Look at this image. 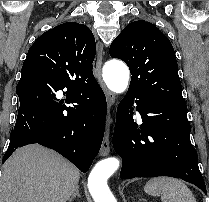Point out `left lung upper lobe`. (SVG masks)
Instances as JSON below:
<instances>
[{
    "mask_svg": "<svg viewBox=\"0 0 209 202\" xmlns=\"http://www.w3.org/2000/svg\"><path fill=\"white\" fill-rule=\"evenodd\" d=\"M109 53L130 69L128 92L158 102L186 105L173 46L154 24L143 20L130 23L114 39Z\"/></svg>",
    "mask_w": 209,
    "mask_h": 202,
    "instance_id": "left-lung-upper-lobe-1",
    "label": "left lung upper lobe"
}]
</instances>
